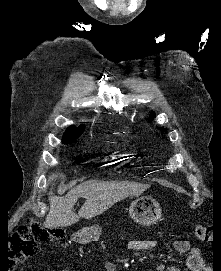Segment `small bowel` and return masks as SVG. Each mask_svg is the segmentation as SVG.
I'll return each instance as SVG.
<instances>
[{"label":"small bowel","instance_id":"1","mask_svg":"<svg viewBox=\"0 0 221 271\" xmlns=\"http://www.w3.org/2000/svg\"><path fill=\"white\" fill-rule=\"evenodd\" d=\"M156 246V241L151 239L132 240L128 242V249L134 252L149 251ZM174 248L178 253H187L186 266L190 271H206L204 261L201 256L199 247L192 246L187 240L174 241ZM108 271H117L113 265H109ZM148 271H180L179 268L173 265L157 264L148 269Z\"/></svg>","mask_w":221,"mask_h":271}]
</instances>
